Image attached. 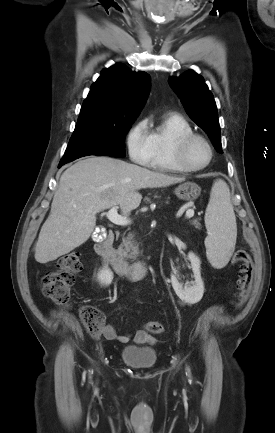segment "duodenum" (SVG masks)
Here are the masks:
<instances>
[{"instance_id":"1","label":"duodenum","mask_w":275,"mask_h":433,"mask_svg":"<svg viewBox=\"0 0 275 433\" xmlns=\"http://www.w3.org/2000/svg\"><path fill=\"white\" fill-rule=\"evenodd\" d=\"M115 234L106 233L105 238L97 239L95 249L103 259L111 264L116 273L127 280H141L148 276L150 268L145 262L128 263L125 258L113 247Z\"/></svg>"}]
</instances>
